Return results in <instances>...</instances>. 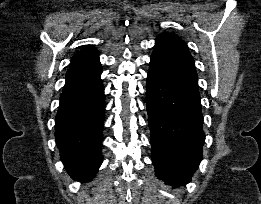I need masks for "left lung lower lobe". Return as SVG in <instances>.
<instances>
[{"label":"left lung lower lobe","instance_id":"1","mask_svg":"<svg viewBox=\"0 0 261 204\" xmlns=\"http://www.w3.org/2000/svg\"><path fill=\"white\" fill-rule=\"evenodd\" d=\"M146 106L156 176L174 187L189 183L202 159L203 114L194 59L173 34L155 40Z\"/></svg>","mask_w":261,"mask_h":204}]
</instances>
